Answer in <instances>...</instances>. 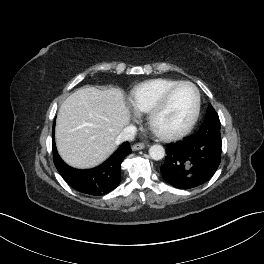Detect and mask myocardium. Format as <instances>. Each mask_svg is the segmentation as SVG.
<instances>
[{
	"label": "myocardium",
	"mask_w": 264,
	"mask_h": 264,
	"mask_svg": "<svg viewBox=\"0 0 264 264\" xmlns=\"http://www.w3.org/2000/svg\"><path fill=\"white\" fill-rule=\"evenodd\" d=\"M182 85L191 86L195 92V107L190 119L183 127L174 131H163L158 129L154 124L156 116L165 108L174 90ZM200 111H201V93L197 85L188 80L177 81L176 83L169 86L163 92L159 100L148 111L147 125L150 128V130L159 138L163 140H176L178 138L185 136L187 133H189L192 130V128L195 126L199 118Z\"/></svg>",
	"instance_id": "myocardium-1"
}]
</instances>
